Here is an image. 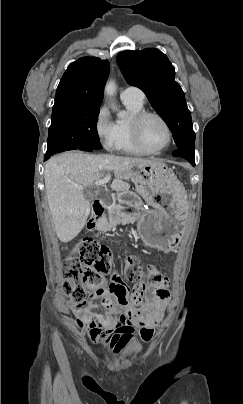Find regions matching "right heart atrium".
<instances>
[{
    "mask_svg": "<svg viewBox=\"0 0 243 404\" xmlns=\"http://www.w3.org/2000/svg\"><path fill=\"white\" fill-rule=\"evenodd\" d=\"M94 132L101 148L109 153L118 151L116 124L106 105H101L94 116Z\"/></svg>",
    "mask_w": 243,
    "mask_h": 404,
    "instance_id": "right-heart-atrium-1",
    "label": "right heart atrium"
}]
</instances>
